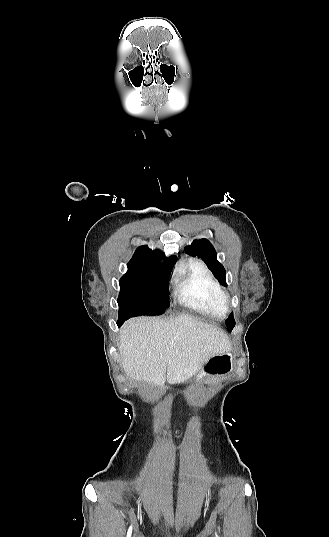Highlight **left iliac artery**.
Wrapping results in <instances>:
<instances>
[{"label": "left iliac artery", "instance_id": "left-iliac-artery-1", "mask_svg": "<svg viewBox=\"0 0 329 537\" xmlns=\"http://www.w3.org/2000/svg\"><path fill=\"white\" fill-rule=\"evenodd\" d=\"M215 537H218L217 532H215Z\"/></svg>", "mask_w": 329, "mask_h": 537}]
</instances>
